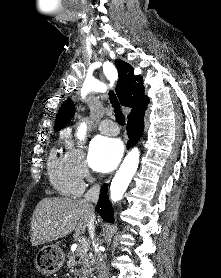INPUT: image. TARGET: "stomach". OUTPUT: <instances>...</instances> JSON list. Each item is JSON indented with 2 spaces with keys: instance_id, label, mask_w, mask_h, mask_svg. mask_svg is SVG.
<instances>
[{
  "instance_id": "1",
  "label": "stomach",
  "mask_w": 221,
  "mask_h": 278,
  "mask_svg": "<svg viewBox=\"0 0 221 278\" xmlns=\"http://www.w3.org/2000/svg\"><path fill=\"white\" fill-rule=\"evenodd\" d=\"M65 255L58 245L44 246L36 255L35 264L44 274H53L61 269Z\"/></svg>"
}]
</instances>
